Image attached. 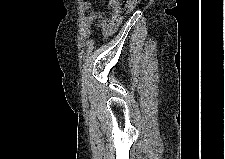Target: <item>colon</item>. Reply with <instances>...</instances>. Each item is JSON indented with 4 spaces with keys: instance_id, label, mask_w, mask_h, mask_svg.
I'll list each match as a JSON object with an SVG mask.
<instances>
[{
    "instance_id": "1",
    "label": "colon",
    "mask_w": 225,
    "mask_h": 159,
    "mask_svg": "<svg viewBox=\"0 0 225 159\" xmlns=\"http://www.w3.org/2000/svg\"><path fill=\"white\" fill-rule=\"evenodd\" d=\"M136 0H112L111 11L109 16V23L111 27H116L121 17L128 13L134 6Z\"/></svg>"
}]
</instances>
